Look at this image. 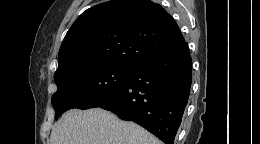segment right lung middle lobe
I'll return each mask as SVG.
<instances>
[{"label": "right lung middle lobe", "instance_id": "obj_1", "mask_svg": "<svg viewBox=\"0 0 260 144\" xmlns=\"http://www.w3.org/2000/svg\"><path fill=\"white\" fill-rule=\"evenodd\" d=\"M131 68L105 64L54 76L57 91L51 103L55 119L69 109L93 108L109 98L126 83Z\"/></svg>", "mask_w": 260, "mask_h": 144}]
</instances>
